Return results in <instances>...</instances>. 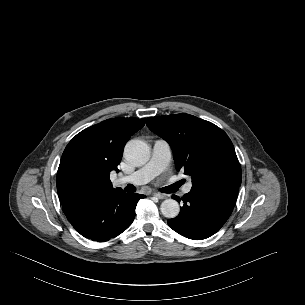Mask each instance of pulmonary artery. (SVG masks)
Here are the masks:
<instances>
[{"mask_svg":"<svg viewBox=\"0 0 305 305\" xmlns=\"http://www.w3.org/2000/svg\"><path fill=\"white\" fill-rule=\"evenodd\" d=\"M171 148L168 142L157 139L153 143L152 156L147 164L130 175H123L117 179L118 184L132 183L134 185L145 184L163 172L171 161ZM192 189V183H187L182 192L188 194Z\"/></svg>","mask_w":305,"mask_h":305,"instance_id":"e3ab8cb5","label":"pulmonary artery"}]
</instances>
